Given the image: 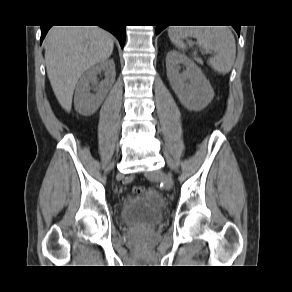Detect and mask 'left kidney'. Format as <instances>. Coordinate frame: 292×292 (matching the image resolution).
Instances as JSON below:
<instances>
[{
    "mask_svg": "<svg viewBox=\"0 0 292 292\" xmlns=\"http://www.w3.org/2000/svg\"><path fill=\"white\" fill-rule=\"evenodd\" d=\"M180 64L186 67L179 72ZM167 77L178 99L188 110L200 111L213 99L214 90L196 63L172 50L166 56Z\"/></svg>",
    "mask_w": 292,
    "mask_h": 292,
    "instance_id": "5707ae66",
    "label": "left kidney"
}]
</instances>
